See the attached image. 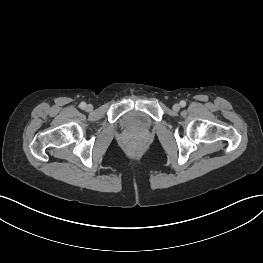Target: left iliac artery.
<instances>
[{
    "label": "left iliac artery",
    "instance_id": "44dca946",
    "mask_svg": "<svg viewBox=\"0 0 263 263\" xmlns=\"http://www.w3.org/2000/svg\"><path fill=\"white\" fill-rule=\"evenodd\" d=\"M180 105H181V107H185V106H186V102L182 100V101L180 102Z\"/></svg>",
    "mask_w": 263,
    "mask_h": 263
}]
</instances>
